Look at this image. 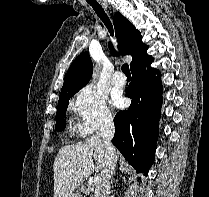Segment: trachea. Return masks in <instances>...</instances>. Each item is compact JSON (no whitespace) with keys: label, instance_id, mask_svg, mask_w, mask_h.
I'll use <instances>...</instances> for the list:
<instances>
[{"label":"trachea","instance_id":"3493384b","mask_svg":"<svg viewBox=\"0 0 209 197\" xmlns=\"http://www.w3.org/2000/svg\"><path fill=\"white\" fill-rule=\"evenodd\" d=\"M87 2L92 6V8L94 9V11L98 15V17L102 20V22L108 28L110 35L113 36V27H112L111 21H110L109 17L107 16V14L105 13L104 9L101 7V5L99 3H97L96 1H92V0H87ZM121 69H122V72L126 76H128V77L131 76L128 64H123Z\"/></svg>","mask_w":209,"mask_h":197}]
</instances>
